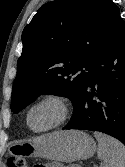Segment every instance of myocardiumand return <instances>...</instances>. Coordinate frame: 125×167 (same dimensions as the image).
Instances as JSON below:
<instances>
[{
    "label": "myocardium",
    "instance_id": "f54148a6",
    "mask_svg": "<svg viewBox=\"0 0 125 167\" xmlns=\"http://www.w3.org/2000/svg\"><path fill=\"white\" fill-rule=\"evenodd\" d=\"M45 104L54 105L57 108V116L55 120L48 126L41 129H36L31 125V115L34 112V110ZM70 112L71 108L69 102L64 96L57 93H50L42 96L33 104H31L26 114V123L30 130L36 133H45L61 126L69 118Z\"/></svg>",
    "mask_w": 125,
    "mask_h": 167
}]
</instances>
